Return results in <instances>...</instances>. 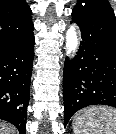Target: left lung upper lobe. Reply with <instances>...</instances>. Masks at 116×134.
Masks as SVG:
<instances>
[{"instance_id": "1", "label": "left lung upper lobe", "mask_w": 116, "mask_h": 134, "mask_svg": "<svg viewBox=\"0 0 116 134\" xmlns=\"http://www.w3.org/2000/svg\"><path fill=\"white\" fill-rule=\"evenodd\" d=\"M73 10L95 11L115 17L107 0H78Z\"/></svg>"}]
</instances>
